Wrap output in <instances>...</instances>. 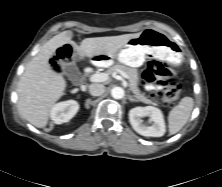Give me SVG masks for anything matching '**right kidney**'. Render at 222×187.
<instances>
[{"label": "right kidney", "instance_id": "1", "mask_svg": "<svg viewBox=\"0 0 222 187\" xmlns=\"http://www.w3.org/2000/svg\"><path fill=\"white\" fill-rule=\"evenodd\" d=\"M79 110V104L68 100L55 104L50 111V117L56 124H62L72 119Z\"/></svg>", "mask_w": 222, "mask_h": 187}]
</instances>
